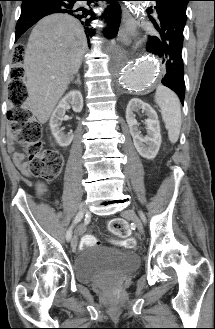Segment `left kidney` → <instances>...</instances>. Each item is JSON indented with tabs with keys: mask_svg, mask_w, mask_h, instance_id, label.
Returning <instances> with one entry per match:
<instances>
[{
	"mask_svg": "<svg viewBox=\"0 0 215 329\" xmlns=\"http://www.w3.org/2000/svg\"><path fill=\"white\" fill-rule=\"evenodd\" d=\"M139 109H142L148 117L145 120L147 127L146 136H143L139 131V124L135 119L134 112H137ZM126 121L128 123L130 134L132 135L133 143L137 152L144 158H155L162 141L156 111L148 103L143 102L141 99L133 98L129 101L126 108Z\"/></svg>",
	"mask_w": 215,
	"mask_h": 329,
	"instance_id": "1",
	"label": "left kidney"
}]
</instances>
